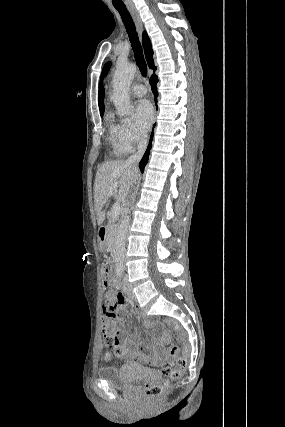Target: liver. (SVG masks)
<instances>
[{
  "instance_id": "liver-1",
  "label": "liver",
  "mask_w": 285,
  "mask_h": 427,
  "mask_svg": "<svg viewBox=\"0 0 285 427\" xmlns=\"http://www.w3.org/2000/svg\"><path fill=\"white\" fill-rule=\"evenodd\" d=\"M138 177L139 172L121 160L106 162L98 169L94 182V206L99 226L105 220L106 213L103 207L108 199L114 195L117 202H124ZM115 184L111 195L110 188Z\"/></svg>"
}]
</instances>
